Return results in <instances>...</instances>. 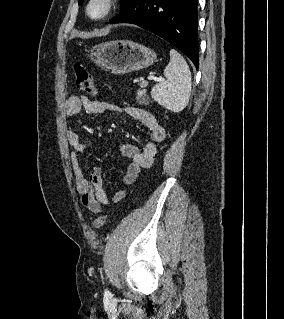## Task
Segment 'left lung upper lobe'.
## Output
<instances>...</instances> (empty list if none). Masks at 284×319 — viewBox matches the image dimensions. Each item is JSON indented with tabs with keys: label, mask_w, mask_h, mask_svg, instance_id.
<instances>
[{
	"label": "left lung upper lobe",
	"mask_w": 284,
	"mask_h": 319,
	"mask_svg": "<svg viewBox=\"0 0 284 319\" xmlns=\"http://www.w3.org/2000/svg\"><path fill=\"white\" fill-rule=\"evenodd\" d=\"M131 0H121V10L130 2ZM79 5L83 3V0H78Z\"/></svg>",
	"instance_id": "1"
}]
</instances>
